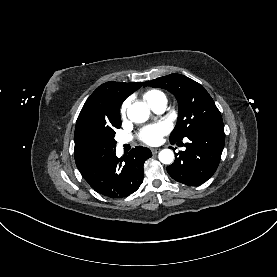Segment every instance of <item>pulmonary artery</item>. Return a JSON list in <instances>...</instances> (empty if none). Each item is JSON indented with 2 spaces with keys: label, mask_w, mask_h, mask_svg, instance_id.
Instances as JSON below:
<instances>
[{
  "label": "pulmonary artery",
  "mask_w": 277,
  "mask_h": 277,
  "mask_svg": "<svg viewBox=\"0 0 277 277\" xmlns=\"http://www.w3.org/2000/svg\"><path fill=\"white\" fill-rule=\"evenodd\" d=\"M150 107L153 109L154 112L161 113L166 108V100H159L158 102L151 105ZM128 141H129L128 139H121L120 144L122 145L124 143H127Z\"/></svg>",
  "instance_id": "pulmonary-artery-1"
}]
</instances>
